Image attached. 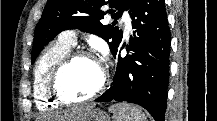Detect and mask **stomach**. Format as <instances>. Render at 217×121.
<instances>
[{"label": "stomach", "instance_id": "0dacf381", "mask_svg": "<svg viewBox=\"0 0 217 121\" xmlns=\"http://www.w3.org/2000/svg\"><path fill=\"white\" fill-rule=\"evenodd\" d=\"M82 121H110V116L100 109H94L85 115Z\"/></svg>", "mask_w": 217, "mask_h": 121}]
</instances>
